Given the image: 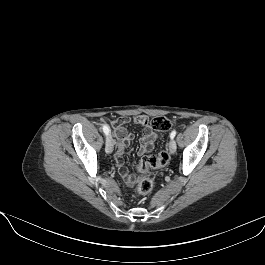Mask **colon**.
I'll list each match as a JSON object with an SVG mask.
<instances>
[{
  "instance_id": "5ec220e1",
  "label": "colon",
  "mask_w": 265,
  "mask_h": 265,
  "mask_svg": "<svg viewBox=\"0 0 265 265\" xmlns=\"http://www.w3.org/2000/svg\"><path fill=\"white\" fill-rule=\"evenodd\" d=\"M149 125L161 132H165L171 129L172 121L164 116L154 117L149 121ZM170 159L168 151L162 150L155 155L143 157L136 165L137 170L144 174L137 182V187L140 193L146 194L151 191L153 187L152 179L145 175L150 169H160L164 167Z\"/></svg>"
}]
</instances>
